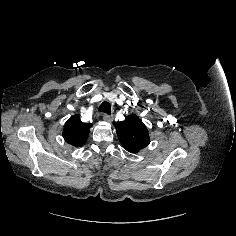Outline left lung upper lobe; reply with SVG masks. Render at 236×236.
Masks as SVG:
<instances>
[{
  "mask_svg": "<svg viewBox=\"0 0 236 236\" xmlns=\"http://www.w3.org/2000/svg\"><path fill=\"white\" fill-rule=\"evenodd\" d=\"M116 132L124 149L137 153L150 143L148 130L136 116L130 115L124 121L116 123Z\"/></svg>",
  "mask_w": 236,
  "mask_h": 236,
  "instance_id": "5c2ea615",
  "label": "left lung upper lobe"
}]
</instances>
